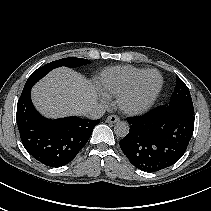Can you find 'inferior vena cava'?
I'll list each match as a JSON object with an SVG mask.
<instances>
[{
  "instance_id": "obj_1",
  "label": "inferior vena cava",
  "mask_w": 211,
  "mask_h": 211,
  "mask_svg": "<svg viewBox=\"0 0 211 211\" xmlns=\"http://www.w3.org/2000/svg\"><path fill=\"white\" fill-rule=\"evenodd\" d=\"M104 113V106L99 103H94L85 109L83 115L90 119H99L104 115Z\"/></svg>"
}]
</instances>
